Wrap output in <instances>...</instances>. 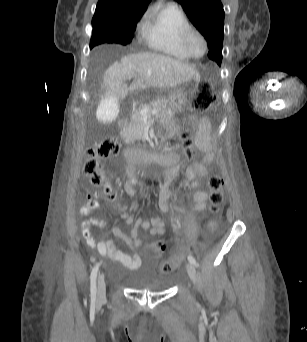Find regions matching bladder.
Listing matches in <instances>:
<instances>
[{
  "label": "bladder",
  "mask_w": 307,
  "mask_h": 342,
  "mask_svg": "<svg viewBox=\"0 0 307 342\" xmlns=\"http://www.w3.org/2000/svg\"><path fill=\"white\" fill-rule=\"evenodd\" d=\"M132 288L151 292H161L172 286V281L166 276H160L153 271L140 270L129 278Z\"/></svg>",
  "instance_id": "1"
}]
</instances>
